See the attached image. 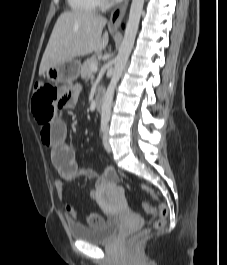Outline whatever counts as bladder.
<instances>
[{"instance_id": "bladder-1", "label": "bladder", "mask_w": 227, "mask_h": 265, "mask_svg": "<svg viewBox=\"0 0 227 265\" xmlns=\"http://www.w3.org/2000/svg\"><path fill=\"white\" fill-rule=\"evenodd\" d=\"M120 195L118 188H114ZM119 222L115 217L103 219L97 225L84 226L79 224H69V232L73 239L89 243H101L109 240L118 228Z\"/></svg>"}]
</instances>
